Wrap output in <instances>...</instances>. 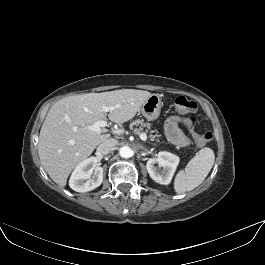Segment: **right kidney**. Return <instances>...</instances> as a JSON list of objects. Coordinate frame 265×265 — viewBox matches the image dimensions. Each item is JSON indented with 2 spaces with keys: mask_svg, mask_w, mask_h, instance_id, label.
Listing matches in <instances>:
<instances>
[{
  "mask_svg": "<svg viewBox=\"0 0 265 265\" xmlns=\"http://www.w3.org/2000/svg\"><path fill=\"white\" fill-rule=\"evenodd\" d=\"M97 162V158L90 157L79 163L71 174L70 188L76 192H88L99 187L103 181V168L97 166Z\"/></svg>",
  "mask_w": 265,
  "mask_h": 265,
  "instance_id": "ca27d5eb",
  "label": "right kidney"
}]
</instances>
